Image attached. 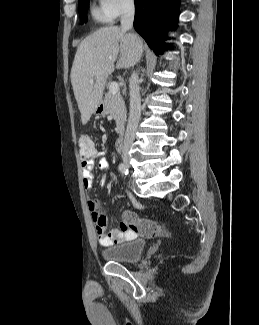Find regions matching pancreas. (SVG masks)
Listing matches in <instances>:
<instances>
[{
    "instance_id": "obj_1",
    "label": "pancreas",
    "mask_w": 259,
    "mask_h": 325,
    "mask_svg": "<svg viewBox=\"0 0 259 325\" xmlns=\"http://www.w3.org/2000/svg\"><path fill=\"white\" fill-rule=\"evenodd\" d=\"M104 103L106 106V114H109L116 121V133L122 135L127 116L123 97L119 92L116 94L108 92L105 94Z\"/></svg>"
}]
</instances>
